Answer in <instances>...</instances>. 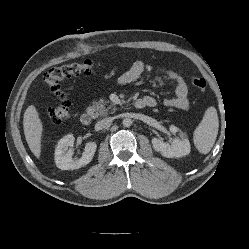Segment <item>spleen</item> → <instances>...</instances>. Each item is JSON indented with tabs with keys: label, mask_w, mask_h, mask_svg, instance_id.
<instances>
[{
	"label": "spleen",
	"mask_w": 249,
	"mask_h": 249,
	"mask_svg": "<svg viewBox=\"0 0 249 249\" xmlns=\"http://www.w3.org/2000/svg\"><path fill=\"white\" fill-rule=\"evenodd\" d=\"M219 119L215 107H209L194 131V145L200 153L207 154L213 147L218 134Z\"/></svg>",
	"instance_id": "3e777b00"
}]
</instances>
